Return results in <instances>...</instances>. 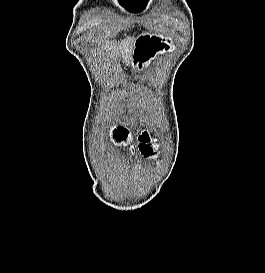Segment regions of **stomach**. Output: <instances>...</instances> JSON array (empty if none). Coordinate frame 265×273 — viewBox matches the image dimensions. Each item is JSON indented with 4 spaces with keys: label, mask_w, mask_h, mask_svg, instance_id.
Masks as SVG:
<instances>
[{
    "label": "stomach",
    "mask_w": 265,
    "mask_h": 273,
    "mask_svg": "<svg viewBox=\"0 0 265 273\" xmlns=\"http://www.w3.org/2000/svg\"><path fill=\"white\" fill-rule=\"evenodd\" d=\"M173 46L171 39L165 35L143 33L134 41L133 63L139 69L149 66L160 55L171 52Z\"/></svg>",
    "instance_id": "obj_1"
}]
</instances>
